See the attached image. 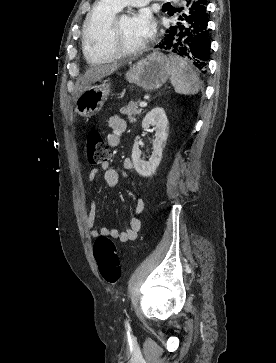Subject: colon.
Instances as JSON below:
<instances>
[{"mask_svg": "<svg viewBox=\"0 0 276 363\" xmlns=\"http://www.w3.org/2000/svg\"><path fill=\"white\" fill-rule=\"evenodd\" d=\"M87 157L91 164L101 165L109 156V149L99 130L91 129L86 139ZM93 254L103 279L116 283L121 277V264L114 242L105 236L98 237L93 246Z\"/></svg>", "mask_w": 276, "mask_h": 363, "instance_id": "obj_1", "label": "colon"}]
</instances>
